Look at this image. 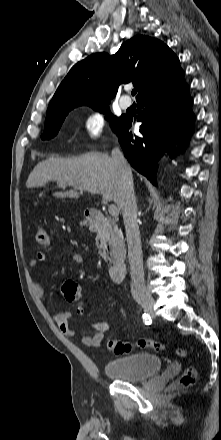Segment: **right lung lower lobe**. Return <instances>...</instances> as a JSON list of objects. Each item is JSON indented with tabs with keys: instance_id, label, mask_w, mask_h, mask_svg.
I'll return each instance as SVG.
<instances>
[{
	"instance_id": "right-lung-lower-lobe-1",
	"label": "right lung lower lobe",
	"mask_w": 221,
	"mask_h": 440,
	"mask_svg": "<svg viewBox=\"0 0 221 440\" xmlns=\"http://www.w3.org/2000/svg\"><path fill=\"white\" fill-rule=\"evenodd\" d=\"M137 102L138 108L143 109L137 118L142 122V137L130 132L132 119L129 117H124L115 132L130 164L155 184L157 159L166 151L173 158L175 151H182L190 138L195 120L191 109L193 100L188 85L182 79Z\"/></svg>"
}]
</instances>
